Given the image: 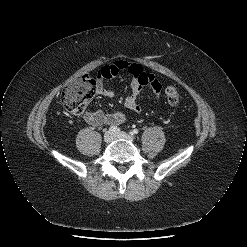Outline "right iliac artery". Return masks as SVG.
Segmentation results:
<instances>
[{
  "label": "right iliac artery",
  "instance_id": "1",
  "mask_svg": "<svg viewBox=\"0 0 247 247\" xmlns=\"http://www.w3.org/2000/svg\"><path fill=\"white\" fill-rule=\"evenodd\" d=\"M109 130H110L111 132H114V133H119V132H120V129H119L118 127H116V126H111V127L109 128Z\"/></svg>",
  "mask_w": 247,
  "mask_h": 247
}]
</instances>
